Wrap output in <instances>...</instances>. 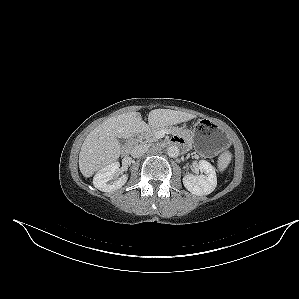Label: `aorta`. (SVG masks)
<instances>
[{
    "label": "aorta",
    "instance_id": "1",
    "mask_svg": "<svg viewBox=\"0 0 299 299\" xmlns=\"http://www.w3.org/2000/svg\"><path fill=\"white\" fill-rule=\"evenodd\" d=\"M167 154L171 158H176L180 154V149L176 145H172L167 149Z\"/></svg>",
    "mask_w": 299,
    "mask_h": 299
}]
</instances>
